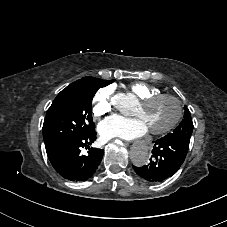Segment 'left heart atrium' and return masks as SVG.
I'll list each match as a JSON object with an SVG mask.
<instances>
[{
	"label": "left heart atrium",
	"instance_id": "39dd6f15",
	"mask_svg": "<svg viewBox=\"0 0 227 227\" xmlns=\"http://www.w3.org/2000/svg\"><path fill=\"white\" fill-rule=\"evenodd\" d=\"M148 127L141 118L125 119L119 116L107 118L99 123L98 132L102 139L121 138L132 140L144 136Z\"/></svg>",
	"mask_w": 227,
	"mask_h": 227
}]
</instances>
